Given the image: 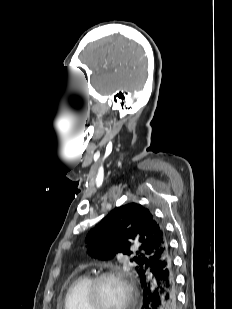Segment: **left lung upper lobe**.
<instances>
[{
    "label": "left lung upper lobe",
    "mask_w": 232,
    "mask_h": 309,
    "mask_svg": "<svg viewBox=\"0 0 232 309\" xmlns=\"http://www.w3.org/2000/svg\"><path fill=\"white\" fill-rule=\"evenodd\" d=\"M88 252L99 260L123 253L132 255L140 282L152 262L169 248L165 229L151 212L137 204L120 206L107 215L86 237Z\"/></svg>",
    "instance_id": "obj_1"
}]
</instances>
